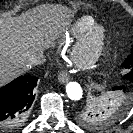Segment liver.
<instances>
[{"instance_id":"6515ba94","label":"liver","mask_w":133,"mask_h":133,"mask_svg":"<svg viewBox=\"0 0 133 133\" xmlns=\"http://www.w3.org/2000/svg\"><path fill=\"white\" fill-rule=\"evenodd\" d=\"M70 20L63 8L40 6L20 17L0 15V86L28 69L31 54L54 44Z\"/></svg>"}]
</instances>
